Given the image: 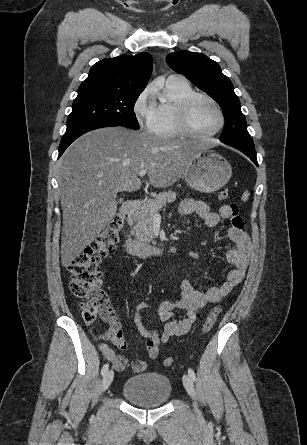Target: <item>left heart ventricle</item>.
Wrapping results in <instances>:
<instances>
[{"label": "left heart ventricle", "mask_w": 307, "mask_h": 445, "mask_svg": "<svg viewBox=\"0 0 307 445\" xmlns=\"http://www.w3.org/2000/svg\"><path fill=\"white\" fill-rule=\"evenodd\" d=\"M193 125L198 131L207 133L216 130L221 124V114L211 103L199 100L190 110Z\"/></svg>", "instance_id": "1"}]
</instances>
